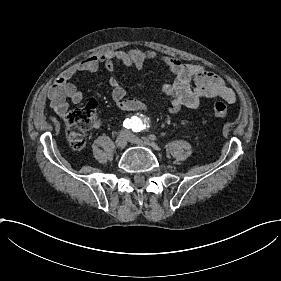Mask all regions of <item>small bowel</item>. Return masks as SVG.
Masks as SVG:
<instances>
[{"label": "small bowel", "instance_id": "c3829d8e", "mask_svg": "<svg viewBox=\"0 0 281 281\" xmlns=\"http://www.w3.org/2000/svg\"><path fill=\"white\" fill-rule=\"evenodd\" d=\"M147 62L159 63L167 67L171 73V80L162 86L163 92L170 102V113L175 114L181 108L197 109L204 98L220 97L228 103H233L236 96L232 88L217 74L208 71L197 64H184L168 54L156 53L149 50L109 49L90 56L69 68L59 79L58 84L50 87L48 97L55 112L60 117H67L70 113L69 104H80L84 95L71 79L84 73H94L99 67L113 69L114 65H126L142 69ZM193 81V86L190 82ZM111 96L116 105L125 112H141L144 106L135 98L126 96L119 81L112 77L109 80ZM101 125L99 120L91 123L97 129Z\"/></svg>", "mask_w": 281, "mask_h": 281}]
</instances>
